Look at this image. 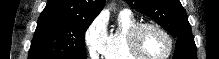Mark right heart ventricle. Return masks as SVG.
<instances>
[{"instance_id": "1", "label": "right heart ventricle", "mask_w": 219, "mask_h": 59, "mask_svg": "<svg viewBox=\"0 0 219 59\" xmlns=\"http://www.w3.org/2000/svg\"><path fill=\"white\" fill-rule=\"evenodd\" d=\"M139 23L130 11L118 14V25L108 33L103 59H138L129 50L128 36L131 29Z\"/></svg>"}]
</instances>
